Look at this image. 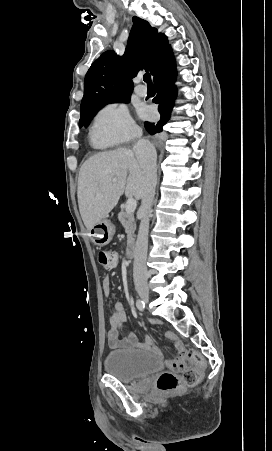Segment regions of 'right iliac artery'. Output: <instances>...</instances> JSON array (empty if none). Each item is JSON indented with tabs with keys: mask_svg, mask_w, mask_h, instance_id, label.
<instances>
[{
	"mask_svg": "<svg viewBox=\"0 0 272 451\" xmlns=\"http://www.w3.org/2000/svg\"><path fill=\"white\" fill-rule=\"evenodd\" d=\"M136 306H137V308H138L140 311H143L144 308H145V303H144V301L138 299V300L136 301Z\"/></svg>",
	"mask_w": 272,
	"mask_h": 451,
	"instance_id": "right-iliac-artery-1",
	"label": "right iliac artery"
}]
</instances>
